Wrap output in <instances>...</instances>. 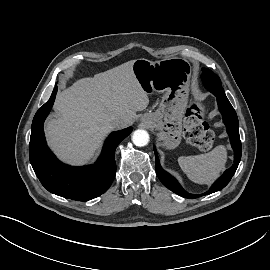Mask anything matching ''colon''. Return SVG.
<instances>
[{"label": "colon", "mask_w": 270, "mask_h": 270, "mask_svg": "<svg viewBox=\"0 0 270 270\" xmlns=\"http://www.w3.org/2000/svg\"><path fill=\"white\" fill-rule=\"evenodd\" d=\"M205 107L200 104L191 105L185 114V138L201 150H209L215 140L214 133L207 127L205 121Z\"/></svg>", "instance_id": "obj_1"}]
</instances>
